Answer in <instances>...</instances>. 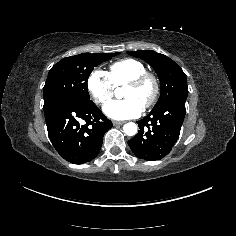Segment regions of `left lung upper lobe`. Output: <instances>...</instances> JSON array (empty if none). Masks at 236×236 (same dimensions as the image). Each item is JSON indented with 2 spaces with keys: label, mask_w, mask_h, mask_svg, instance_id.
I'll list each match as a JSON object with an SVG mask.
<instances>
[{
  "label": "left lung upper lobe",
  "mask_w": 236,
  "mask_h": 236,
  "mask_svg": "<svg viewBox=\"0 0 236 236\" xmlns=\"http://www.w3.org/2000/svg\"><path fill=\"white\" fill-rule=\"evenodd\" d=\"M129 55L145 60L156 71L161 95L156 109L177 97L188 96L187 78L183 70L169 57L151 50L129 51Z\"/></svg>",
  "instance_id": "obj_1"
}]
</instances>
